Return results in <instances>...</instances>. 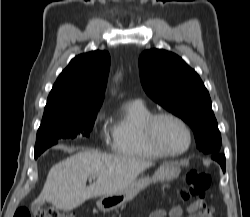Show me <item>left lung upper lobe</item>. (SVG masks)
Segmentation results:
<instances>
[{"mask_svg": "<svg viewBox=\"0 0 250 217\" xmlns=\"http://www.w3.org/2000/svg\"><path fill=\"white\" fill-rule=\"evenodd\" d=\"M139 69L147 95L190 125L197 148L205 154L219 153L221 134L199 75L182 58L162 49L143 52Z\"/></svg>", "mask_w": 250, "mask_h": 217, "instance_id": "1", "label": "left lung upper lobe"}]
</instances>
